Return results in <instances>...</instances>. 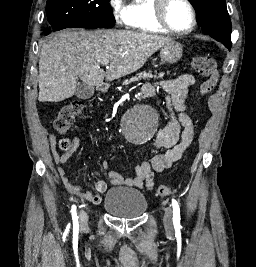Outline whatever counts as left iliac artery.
<instances>
[{
  "label": "left iliac artery",
  "mask_w": 256,
  "mask_h": 267,
  "mask_svg": "<svg viewBox=\"0 0 256 267\" xmlns=\"http://www.w3.org/2000/svg\"><path fill=\"white\" fill-rule=\"evenodd\" d=\"M172 207H173L174 226L180 225V208L178 202L175 199H172Z\"/></svg>",
  "instance_id": "44dca946"
}]
</instances>
